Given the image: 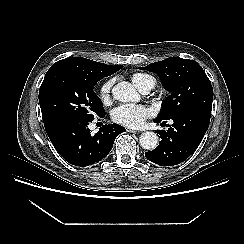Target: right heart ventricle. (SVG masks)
<instances>
[{
	"label": "right heart ventricle",
	"instance_id": "obj_1",
	"mask_svg": "<svg viewBox=\"0 0 244 244\" xmlns=\"http://www.w3.org/2000/svg\"><path fill=\"white\" fill-rule=\"evenodd\" d=\"M130 79L133 85L138 89L141 90L147 82L152 79V77L146 73L136 72L131 74Z\"/></svg>",
	"mask_w": 244,
	"mask_h": 244
}]
</instances>
